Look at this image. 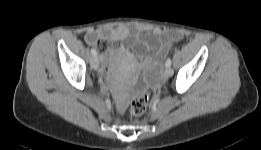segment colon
Returning <instances> with one entry per match:
<instances>
[{
  "mask_svg": "<svg viewBox=\"0 0 261 150\" xmlns=\"http://www.w3.org/2000/svg\"><path fill=\"white\" fill-rule=\"evenodd\" d=\"M149 93L142 90L133 98L130 105V112L134 116H141L145 113L148 105Z\"/></svg>",
  "mask_w": 261,
  "mask_h": 150,
  "instance_id": "obj_1",
  "label": "colon"
}]
</instances>
